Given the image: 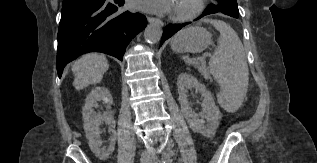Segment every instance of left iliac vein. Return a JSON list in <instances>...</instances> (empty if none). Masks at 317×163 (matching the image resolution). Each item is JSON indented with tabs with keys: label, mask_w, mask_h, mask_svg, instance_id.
Returning a JSON list of instances; mask_svg holds the SVG:
<instances>
[{
	"label": "left iliac vein",
	"mask_w": 317,
	"mask_h": 163,
	"mask_svg": "<svg viewBox=\"0 0 317 163\" xmlns=\"http://www.w3.org/2000/svg\"><path fill=\"white\" fill-rule=\"evenodd\" d=\"M172 156V153L171 151L169 150L168 152V157H169V160H170V157ZM152 163H159V161L157 159H154V161Z\"/></svg>",
	"instance_id": "left-iliac-vein-1"
}]
</instances>
